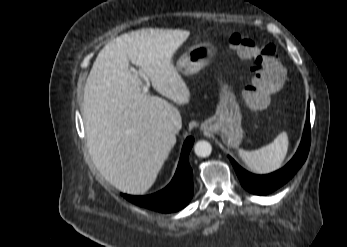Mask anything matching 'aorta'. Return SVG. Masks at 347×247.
<instances>
[{
  "label": "aorta",
  "instance_id": "1",
  "mask_svg": "<svg viewBox=\"0 0 347 247\" xmlns=\"http://www.w3.org/2000/svg\"><path fill=\"white\" fill-rule=\"evenodd\" d=\"M195 154L198 157H208L212 152V146L208 141L202 140L198 141L194 147Z\"/></svg>",
  "mask_w": 347,
  "mask_h": 247
}]
</instances>
